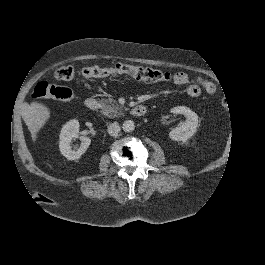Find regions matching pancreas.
<instances>
[{
  "label": "pancreas",
  "instance_id": "cf45deb5",
  "mask_svg": "<svg viewBox=\"0 0 265 265\" xmlns=\"http://www.w3.org/2000/svg\"><path fill=\"white\" fill-rule=\"evenodd\" d=\"M123 108L124 107L122 105L117 104L114 99L108 98L103 101L102 113L112 118L121 115Z\"/></svg>",
  "mask_w": 265,
  "mask_h": 265
}]
</instances>
